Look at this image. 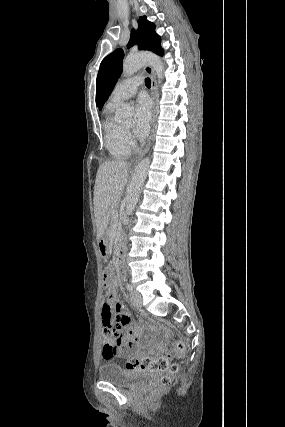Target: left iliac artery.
Wrapping results in <instances>:
<instances>
[{"instance_id":"1","label":"left iliac artery","mask_w":285,"mask_h":427,"mask_svg":"<svg viewBox=\"0 0 285 427\" xmlns=\"http://www.w3.org/2000/svg\"><path fill=\"white\" fill-rule=\"evenodd\" d=\"M126 288H127V290H129V291H132V289H133V288H132V285H130L129 283H127V284H126Z\"/></svg>"}]
</instances>
